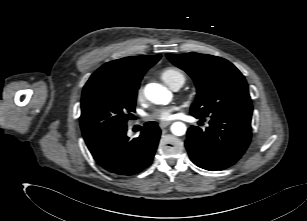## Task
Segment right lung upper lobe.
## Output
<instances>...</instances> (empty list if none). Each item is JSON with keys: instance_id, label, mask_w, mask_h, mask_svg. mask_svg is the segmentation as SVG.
<instances>
[{"instance_id": "right-lung-upper-lobe-1", "label": "right lung upper lobe", "mask_w": 307, "mask_h": 221, "mask_svg": "<svg viewBox=\"0 0 307 221\" xmlns=\"http://www.w3.org/2000/svg\"><path fill=\"white\" fill-rule=\"evenodd\" d=\"M161 58V55L135 56L108 62L96 70L87 83L94 81L122 82L128 87L139 88L145 72Z\"/></svg>"}]
</instances>
